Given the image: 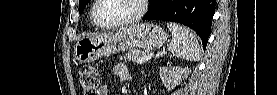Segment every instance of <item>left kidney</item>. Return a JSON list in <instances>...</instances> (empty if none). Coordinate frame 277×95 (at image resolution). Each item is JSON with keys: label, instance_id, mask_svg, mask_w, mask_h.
I'll use <instances>...</instances> for the list:
<instances>
[{"label": "left kidney", "instance_id": "1", "mask_svg": "<svg viewBox=\"0 0 277 95\" xmlns=\"http://www.w3.org/2000/svg\"><path fill=\"white\" fill-rule=\"evenodd\" d=\"M188 68L170 67L163 68L160 72V77L165 87L169 89L178 85L181 80L187 76Z\"/></svg>", "mask_w": 277, "mask_h": 95}]
</instances>
